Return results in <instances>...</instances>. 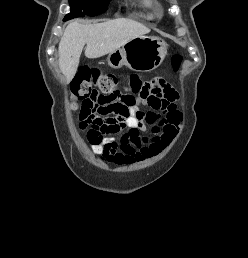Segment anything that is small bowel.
<instances>
[{"instance_id": "c3829d8e", "label": "small bowel", "mask_w": 248, "mask_h": 258, "mask_svg": "<svg viewBox=\"0 0 248 258\" xmlns=\"http://www.w3.org/2000/svg\"><path fill=\"white\" fill-rule=\"evenodd\" d=\"M117 99L118 104L130 109L131 117L122 128L108 133L123 131L124 134L120 139L107 137L91 141L93 151L103 161L116 165H128L160 155L172 143L181 125L182 117L175 105L176 92L165 81L155 79L138 97L121 95ZM140 104L148 110L139 108ZM80 120L81 128L85 130L88 122L84 109Z\"/></svg>"}]
</instances>
